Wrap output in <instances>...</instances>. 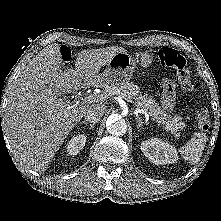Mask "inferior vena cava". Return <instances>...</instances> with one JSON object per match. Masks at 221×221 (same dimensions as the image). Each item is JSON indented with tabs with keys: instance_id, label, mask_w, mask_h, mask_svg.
<instances>
[{
	"instance_id": "1",
	"label": "inferior vena cava",
	"mask_w": 221,
	"mask_h": 221,
	"mask_svg": "<svg viewBox=\"0 0 221 221\" xmlns=\"http://www.w3.org/2000/svg\"><path fill=\"white\" fill-rule=\"evenodd\" d=\"M105 110L106 108L104 105L91 106L85 114L86 121H89L90 123H97L104 115Z\"/></svg>"
}]
</instances>
